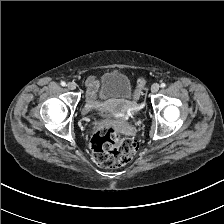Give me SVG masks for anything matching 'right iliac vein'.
<instances>
[{
    "instance_id": "obj_1",
    "label": "right iliac vein",
    "mask_w": 224,
    "mask_h": 224,
    "mask_svg": "<svg viewBox=\"0 0 224 224\" xmlns=\"http://www.w3.org/2000/svg\"><path fill=\"white\" fill-rule=\"evenodd\" d=\"M66 86L69 90H75L76 89V84L74 82H69Z\"/></svg>"
}]
</instances>
